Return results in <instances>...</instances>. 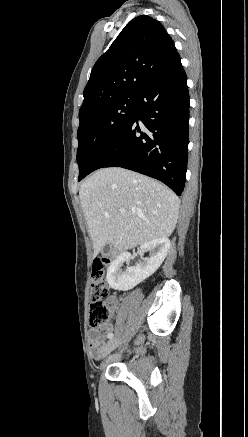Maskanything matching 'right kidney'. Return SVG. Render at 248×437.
<instances>
[{
  "mask_svg": "<svg viewBox=\"0 0 248 437\" xmlns=\"http://www.w3.org/2000/svg\"><path fill=\"white\" fill-rule=\"evenodd\" d=\"M170 240L168 238H159L146 242L138 249V254L142 257L145 252H150L149 258H144L142 263L134 267H128L122 271L121 267L124 262L131 258L128 252L121 253L111 263L107 270V282L115 290L127 291L150 277L161 266L170 249Z\"/></svg>",
  "mask_w": 248,
  "mask_h": 437,
  "instance_id": "ca27d5eb",
  "label": "right kidney"
}]
</instances>
